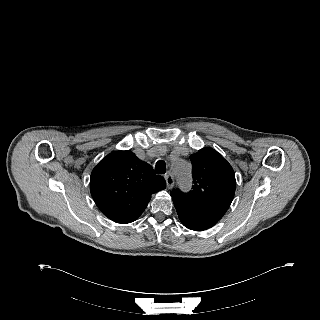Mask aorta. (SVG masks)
Here are the masks:
<instances>
[{
    "label": "aorta",
    "instance_id": "aorta-1",
    "mask_svg": "<svg viewBox=\"0 0 320 320\" xmlns=\"http://www.w3.org/2000/svg\"><path fill=\"white\" fill-rule=\"evenodd\" d=\"M172 172L177 182L182 187H187L191 182V166L182 159H174L171 163Z\"/></svg>",
    "mask_w": 320,
    "mask_h": 320
}]
</instances>
